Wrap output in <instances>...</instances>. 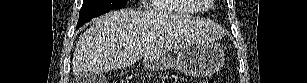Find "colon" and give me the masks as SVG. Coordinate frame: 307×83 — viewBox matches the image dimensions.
Here are the masks:
<instances>
[{
    "label": "colon",
    "instance_id": "colon-1",
    "mask_svg": "<svg viewBox=\"0 0 307 83\" xmlns=\"http://www.w3.org/2000/svg\"><path fill=\"white\" fill-rule=\"evenodd\" d=\"M216 81H215V79H213V78H207V79H205L204 81H203V83H215Z\"/></svg>",
    "mask_w": 307,
    "mask_h": 83
}]
</instances>
